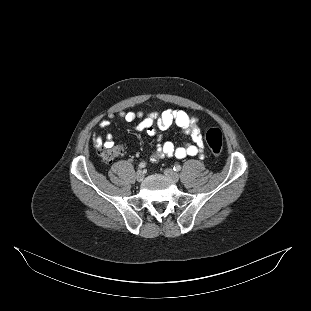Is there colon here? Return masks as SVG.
Returning <instances> with one entry per match:
<instances>
[{
	"mask_svg": "<svg viewBox=\"0 0 311 311\" xmlns=\"http://www.w3.org/2000/svg\"><path fill=\"white\" fill-rule=\"evenodd\" d=\"M208 146L215 157H219L222 150V133L218 128L209 127L205 131ZM123 153L121 145H103L98 148V154L107 163H111Z\"/></svg>",
	"mask_w": 311,
	"mask_h": 311,
	"instance_id": "obj_1",
	"label": "colon"
}]
</instances>
